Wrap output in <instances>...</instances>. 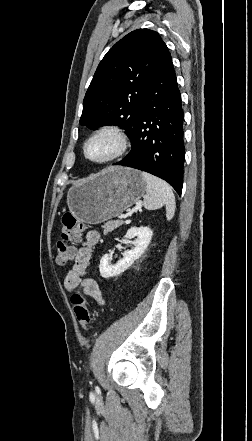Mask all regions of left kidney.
I'll return each mask as SVG.
<instances>
[{
  "label": "left kidney",
  "instance_id": "obj_1",
  "mask_svg": "<svg viewBox=\"0 0 252 441\" xmlns=\"http://www.w3.org/2000/svg\"><path fill=\"white\" fill-rule=\"evenodd\" d=\"M136 237L134 248L126 250L123 258L115 265L110 264V255L105 254L99 265L100 275L103 278L117 276L127 270L135 260H137L145 251L152 239V231L148 227H132L125 234L124 238L129 239Z\"/></svg>",
  "mask_w": 252,
  "mask_h": 441
}]
</instances>
